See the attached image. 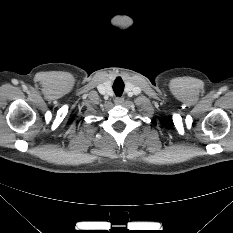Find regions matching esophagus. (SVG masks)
Instances as JSON below:
<instances>
[{
  "label": "esophagus",
  "mask_w": 233,
  "mask_h": 233,
  "mask_svg": "<svg viewBox=\"0 0 233 233\" xmlns=\"http://www.w3.org/2000/svg\"><path fill=\"white\" fill-rule=\"evenodd\" d=\"M114 102L116 105H121L124 102V98L123 97H116Z\"/></svg>",
  "instance_id": "34e87169"
}]
</instances>
